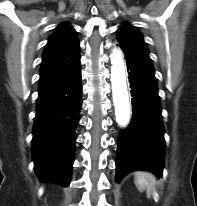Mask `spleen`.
Returning <instances> with one entry per match:
<instances>
[{
	"label": "spleen",
	"instance_id": "1",
	"mask_svg": "<svg viewBox=\"0 0 197 206\" xmlns=\"http://www.w3.org/2000/svg\"><path fill=\"white\" fill-rule=\"evenodd\" d=\"M134 183L140 192L147 191L149 198L156 184V179L151 173L137 172Z\"/></svg>",
	"mask_w": 197,
	"mask_h": 206
}]
</instances>
